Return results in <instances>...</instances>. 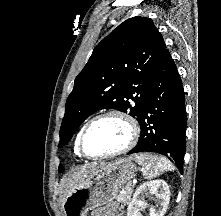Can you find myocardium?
<instances>
[{
  "label": "myocardium",
  "mask_w": 221,
  "mask_h": 216,
  "mask_svg": "<svg viewBox=\"0 0 221 216\" xmlns=\"http://www.w3.org/2000/svg\"><path fill=\"white\" fill-rule=\"evenodd\" d=\"M109 117L117 118L126 124V126L128 128V133H129L126 143L121 148H119L115 151H112V152H107V153L97 154V155H91V154L87 153L85 150V147H84V138H85V134H86L87 130L95 122L105 119V118H109ZM139 135H140V127L134 117H132L129 113H127L123 110L110 109V110H107L103 113H100V114L94 116L84 125L81 132L79 133L77 146H78L79 152L83 156H85L89 159L111 158V157H115V156L124 154L125 152L129 151L137 143Z\"/></svg>",
  "instance_id": "1"
}]
</instances>
